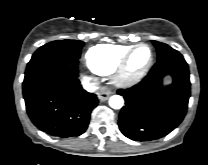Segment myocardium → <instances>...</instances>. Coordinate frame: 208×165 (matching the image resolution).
I'll list each match as a JSON object with an SVG mask.
<instances>
[{
    "instance_id": "f54148a6",
    "label": "myocardium",
    "mask_w": 208,
    "mask_h": 165,
    "mask_svg": "<svg viewBox=\"0 0 208 165\" xmlns=\"http://www.w3.org/2000/svg\"><path fill=\"white\" fill-rule=\"evenodd\" d=\"M141 48H147L150 52L149 60L147 64L139 70H133L131 68V61L134 54ZM154 62V52L152 48L144 43L137 44L132 47L126 55L123 57L122 61L116 68L115 82L120 86H132L140 82L146 74L151 69Z\"/></svg>"
}]
</instances>
